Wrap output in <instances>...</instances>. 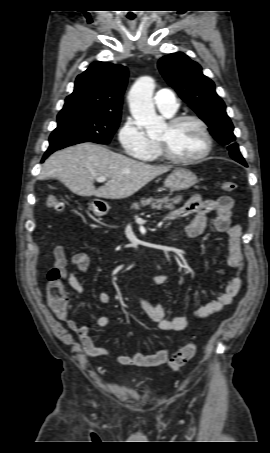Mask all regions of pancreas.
I'll return each mask as SVG.
<instances>
[{
  "mask_svg": "<svg viewBox=\"0 0 270 453\" xmlns=\"http://www.w3.org/2000/svg\"><path fill=\"white\" fill-rule=\"evenodd\" d=\"M181 202V197H163V198H148V199H142L140 203H133L131 206V209L134 210H139L140 207H146V206H151L152 209L155 210H163V209H168L172 210L174 209V205L179 204Z\"/></svg>",
  "mask_w": 270,
  "mask_h": 453,
  "instance_id": "pancreas-1",
  "label": "pancreas"
}]
</instances>
